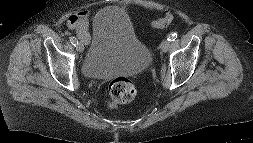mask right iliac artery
I'll return each mask as SVG.
<instances>
[{
    "label": "right iliac artery",
    "mask_w": 253,
    "mask_h": 143,
    "mask_svg": "<svg viewBox=\"0 0 253 143\" xmlns=\"http://www.w3.org/2000/svg\"><path fill=\"white\" fill-rule=\"evenodd\" d=\"M70 42L72 45L76 46L78 43V40L75 37H70Z\"/></svg>",
    "instance_id": "1"
}]
</instances>
